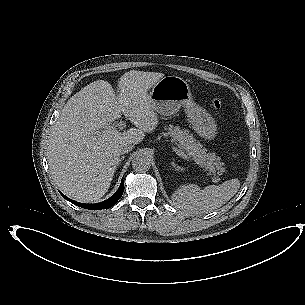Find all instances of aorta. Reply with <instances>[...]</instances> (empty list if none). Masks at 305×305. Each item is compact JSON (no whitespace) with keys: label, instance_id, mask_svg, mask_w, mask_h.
Listing matches in <instances>:
<instances>
[{"label":"aorta","instance_id":"obj_1","mask_svg":"<svg viewBox=\"0 0 305 305\" xmlns=\"http://www.w3.org/2000/svg\"><path fill=\"white\" fill-rule=\"evenodd\" d=\"M151 156L146 152L138 153L132 160V168L137 172H145L150 169Z\"/></svg>","mask_w":305,"mask_h":305}]
</instances>
